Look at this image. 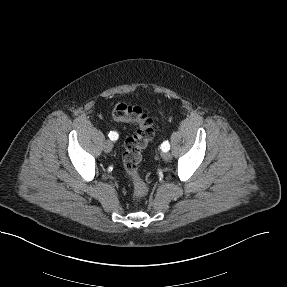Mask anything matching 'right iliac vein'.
I'll return each mask as SVG.
<instances>
[{
  "label": "right iliac vein",
  "mask_w": 287,
  "mask_h": 287,
  "mask_svg": "<svg viewBox=\"0 0 287 287\" xmlns=\"http://www.w3.org/2000/svg\"><path fill=\"white\" fill-rule=\"evenodd\" d=\"M103 148H104V151H105L106 153H109V152H111V150H112V148H113V143H112L111 141L107 140V141L104 143Z\"/></svg>",
  "instance_id": "right-iliac-vein-1"
}]
</instances>
